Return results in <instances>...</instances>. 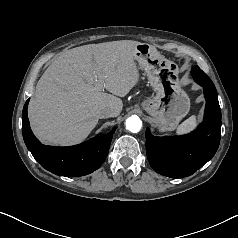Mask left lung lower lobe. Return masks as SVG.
<instances>
[{"label": "left lung lower lobe", "mask_w": 238, "mask_h": 238, "mask_svg": "<svg viewBox=\"0 0 238 238\" xmlns=\"http://www.w3.org/2000/svg\"><path fill=\"white\" fill-rule=\"evenodd\" d=\"M191 73L204 90L203 123L184 136L154 137L146 130V152L151 167L172 178L192 175L215 155L220 143L221 110L216 88L201 69L192 68Z\"/></svg>", "instance_id": "obj_1"}]
</instances>
